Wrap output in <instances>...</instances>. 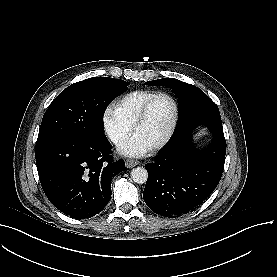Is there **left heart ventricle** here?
<instances>
[{"instance_id":"b2bd125f","label":"left heart ventricle","mask_w":277,"mask_h":277,"mask_svg":"<svg viewBox=\"0 0 277 277\" xmlns=\"http://www.w3.org/2000/svg\"><path fill=\"white\" fill-rule=\"evenodd\" d=\"M172 111V103L169 100L156 99L149 107L136 136L145 144H154L160 141L169 127Z\"/></svg>"}]
</instances>
